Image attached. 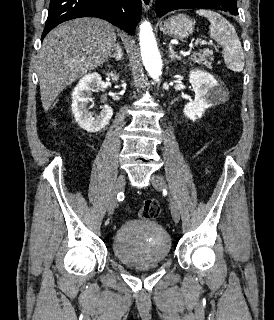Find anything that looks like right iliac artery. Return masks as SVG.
I'll return each mask as SVG.
<instances>
[{"label":"right iliac artery","mask_w":274,"mask_h":320,"mask_svg":"<svg viewBox=\"0 0 274 320\" xmlns=\"http://www.w3.org/2000/svg\"><path fill=\"white\" fill-rule=\"evenodd\" d=\"M117 199H118L119 201L123 200V199H124V194H123L122 192L118 193Z\"/></svg>","instance_id":"1"}]
</instances>
